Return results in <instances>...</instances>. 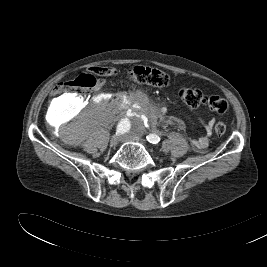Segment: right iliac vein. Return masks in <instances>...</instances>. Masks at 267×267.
<instances>
[{
    "label": "right iliac vein",
    "mask_w": 267,
    "mask_h": 267,
    "mask_svg": "<svg viewBox=\"0 0 267 267\" xmlns=\"http://www.w3.org/2000/svg\"><path fill=\"white\" fill-rule=\"evenodd\" d=\"M119 141H120L119 135H114L110 140V145L115 147Z\"/></svg>",
    "instance_id": "1"
}]
</instances>
